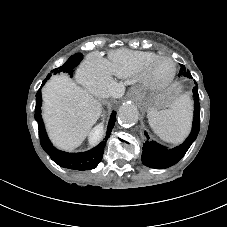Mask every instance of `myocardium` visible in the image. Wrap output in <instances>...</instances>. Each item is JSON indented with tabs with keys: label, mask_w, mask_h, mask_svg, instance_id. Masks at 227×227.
<instances>
[{
	"label": "myocardium",
	"mask_w": 227,
	"mask_h": 227,
	"mask_svg": "<svg viewBox=\"0 0 227 227\" xmlns=\"http://www.w3.org/2000/svg\"><path fill=\"white\" fill-rule=\"evenodd\" d=\"M175 66L168 57H156L143 71L142 85L145 89L154 90L167 84L173 77Z\"/></svg>",
	"instance_id": "obj_1"
}]
</instances>
